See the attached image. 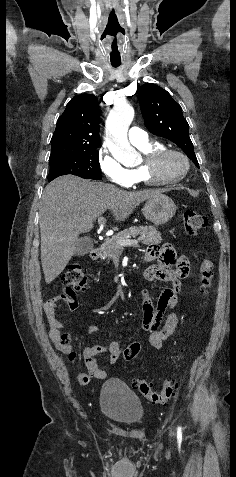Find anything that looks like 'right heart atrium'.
<instances>
[{
	"label": "right heart atrium",
	"mask_w": 236,
	"mask_h": 477,
	"mask_svg": "<svg viewBox=\"0 0 236 477\" xmlns=\"http://www.w3.org/2000/svg\"><path fill=\"white\" fill-rule=\"evenodd\" d=\"M98 164L101 172L111 184L121 187L131 186L128 169L122 166L106 147L99 150Z\"/></svg>",
	"instance_id": "right-heart-atrium-1"
}]
</instances>
